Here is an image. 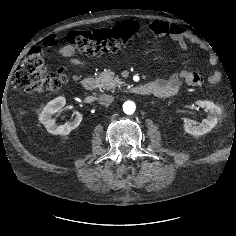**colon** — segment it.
Here are the masks:
<instances>
[{"label": "colon", "mask_w": 236, "mask_h": 236, "mask_svg": "<svg viewBox=\"0 0 236 236\" xmlns=\"http://www.w3.org/2000/svg\"><path fill=\"white\" fill-rule=\"evenodd\" d=\"M137 29L135 22L124 21L113 27L70 32L65 39L82 53L94 56L124 47ZM55 41L56 36L50 35L44 44L51 46ZM16 80L27 92L45 94L57 91L68 81V75L62 70L51 72L45 53L40 47H35L19 66Z\"/></svg>", "instance_id": "obj_1"}]
</instances>
